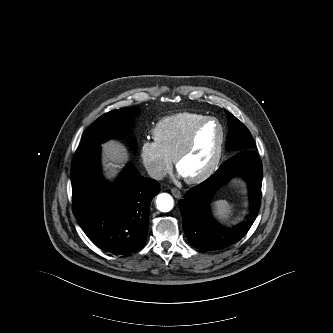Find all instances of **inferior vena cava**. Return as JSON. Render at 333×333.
<instances>
[{"instance_id":"602c4592","label":"inferior vena cava","mask_w":333,"mask_h":333,"mask_svg":"<svg viewBox=\"0 0 333 333\" xmlns=\"http://www.w3.org/2000/svg\"><path fill=\"white\" fill-rule=\"evenodd\" d=\"M150 177L156 180H162L166 176V172L158 166H150L147 168Z\"/></svg>"}]
</instances>
